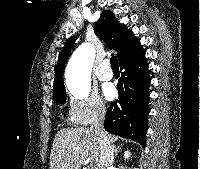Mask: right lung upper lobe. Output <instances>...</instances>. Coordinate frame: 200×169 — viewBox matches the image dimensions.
Listing matches in <instances>:
<instances>
[{"mask_svg": "<svg viewBox=\"0 0 200 169\" xmlns=\"http://www.w3.org/2000/svg\"><path fill=\"white\" fill-rule=\"evenodd\" d=\"M94 30L100 39L106 41L109 48L117 51L119 63H122L124 60L131 58L143 50L140 41L134 37L132 31L128 30L124 24H120L109 10L103 11L101 17L95 24ZM74 41V37H71L61 51L56 66L53 94L65 92L63 70Z\"/></svg>", "mask_w": 200, "mask_h": 169, "instance_id": "obj_1", "label": "right lung upper lobe"}]
</instances>
